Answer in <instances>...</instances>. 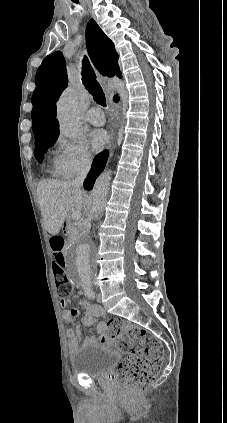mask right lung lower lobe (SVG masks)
<instances>
[{
    "label": "right lung lower lobe",
    "mask_w": 227,
    "mask_h": 423,
    "mask_svg": "<svg viewBox=\"0 0 227 423\" xmlns=\"http://www.w3.org/2000/svg\"><path fill=\"white\" fill-rule=\"evenodd\" d=\"M108 157V151L105 150L98 154L92 164V168L87 176V178L84 181V188L87 190H91L93 187V184L98 177V175L101 173V171L104 169V166L107 162Z\"/></svg>",
    "instance_id": "98d812e1"
}]
</instances>
